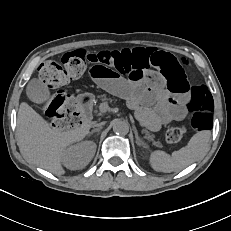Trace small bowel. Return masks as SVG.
<instances>
[{
	"label": "small bowel",
	"instance_id": "obj_1",
	"mask_svg": "<svg viewBox=\"0 0 231 231\" xmlns=\"http://www.w3.org/2000/svg\"><path fill=\"white\" fill-rule=\"evenodd\" d=\"M91 79L106 92L124 98L150 128L182 120L186 116V97H174L164 88L159 73L148 71L141 77L124 78L115 69L94 65Z\"/></svg>",
	"mask_w": 231,
	"mask_h": 231
}]
</instances>
